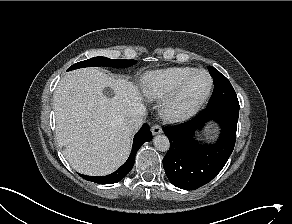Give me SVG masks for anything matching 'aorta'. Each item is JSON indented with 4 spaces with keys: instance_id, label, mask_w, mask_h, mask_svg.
<instances>
[{
    "instance_id": "1",
    "label": "aorta",
    "mask_w": 292,
    "mask_h": 224,
    "mask_svg": "<svg viewBox=\"0 0 292 224\" xmlns=\"http://www.w3.org/2000/svg\"><path fill=\"white\" fill-rule=\"evenodd\" d=\"M154 146L157 150L165 152L170 148V142L167 136L157 135L153 140Z\"/></svg>"
}]
</instances>
